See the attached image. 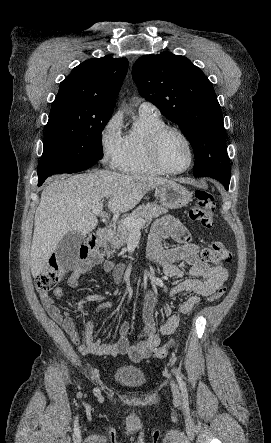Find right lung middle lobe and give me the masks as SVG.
<instances>
[{"label":"right lung middle lobe","mask_w":271,"mask_h":443,"mask_svg":"<svg viewBox=\"0 0 271 443\" xmlns=\"http://www.w3.org/2000/svg\"><path fill=\"white\" fill-rule=\"evenodd\" d=\"M109 119L72 104L52 105L38 172L60 165L96 164L103 157L101 132Z\"/></svg>","instance_id":"obj_1"}]
</instances>
